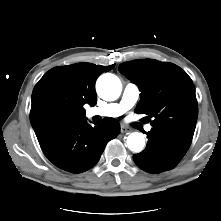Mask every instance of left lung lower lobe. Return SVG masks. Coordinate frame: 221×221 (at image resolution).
Returning a JSON list of instances; mask_svg holds the SVG:
<instances>
[{"label": "left lung lower lobe", "mask_w": 221, "mask_h": 221, "mask_svg": "<svg viewBox=\"0 0 221 221\" xmlns=\"http://www.w3.org/2000/svg\"><path fill=\"white\" fill-rule=\"evenodd\" d=\"M147 135L146 149L133 155V159L139 168L148 173H161L174 168L192 141L163 128H152Z\"/></svg>", "instance_id": "left-lung-lower-lobe-1"}]
</instances>
